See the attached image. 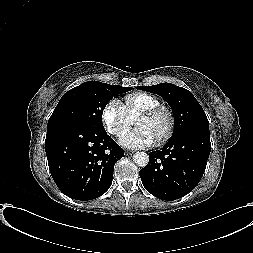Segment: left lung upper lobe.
I'll return each instance as SVG.
<instances>
[{
	"label": "left lung upper lobe",
	"instance_id": "left-lung-upper-lobe-1",
	"mask_svg": "<svg viewBox=\"0 0 253 253\" xmlns=\"http://www.w3.org/2000/svg\"><path fill=\"white\" fill-rule=\"evenodd\" d=\"M137 89L158 94L168 102L174 115L173 135L190 127L209 128L203 108L187 89L171 83L138 86Z\"/></svg>",
	"mask_w": 253,
	"mask_h": 253
}]
</instances>
